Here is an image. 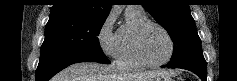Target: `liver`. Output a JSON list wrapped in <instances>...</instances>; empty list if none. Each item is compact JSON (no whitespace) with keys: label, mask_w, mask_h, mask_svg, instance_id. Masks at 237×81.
<instances>
[{"label":"liver","mask_w":237,"mask_h":81,"mask_svg":"<svg viewBox=\"0 0 237 81\" xmlns=\"http://www.w3.org/2000/svg\"><path fill=\"white\" fill-rule=\"evenodd\" d=\"M164 71L125 72L113 65L75 63L61 71L54 81H151Z\"/></svg>","instance_id":"obj_1"}]
</instances>
